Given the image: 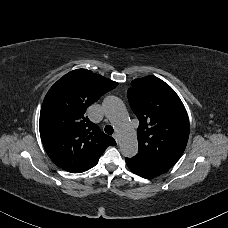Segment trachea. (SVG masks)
<instances>
[{
  "instance_id": "obj_1",
  "label": "trachea",
  "mask_w": 228,
  "mask_h": 228,
  "mask_svg": "<svg viewBox=\"0 0 228 228\" xmlns=\"http://www.w3.org/2000/svg\"><path fill=\"white\" fill-rule=\"evenodd\" d=\"M104 131L109 135L113 134L114 132L113 127L111 125H106Z\"/></svg>"
}]
</instances>
